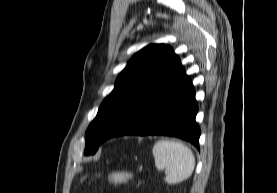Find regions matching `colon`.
Wrapping results in <instances>:
<instances>
[{
    "instance_id": "5ec220e1",
    "label": "colon",
    "mask_w": 277,
    "mask_h": 193,
    "mask_svg": "<svg viewBox=\"0 0 277 193\" xmlns=\"http://www.w3.org/2000/svg\"><path fill=\"white\" fill-rule=\"evenodd\" d=\"M134 175L129 171L116 170L107 175V180L111 184L126 185L133 180Z\"/></svg>"
}]
</instances>
